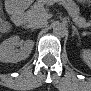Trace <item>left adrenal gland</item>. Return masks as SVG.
Here are the masks:
<instances>
[{
	"label": "left adrenal gland",
	"instance_id": "left-adrenal-gland-1",
	"mask_svg": "<svg viewBox=\"0 0 91 91\" xmlns=\"http://www.w3.org/2000/svg\"><path fill=\"white\" fill-rule=\"evenodd\" d=\"M73 29V34H76L77 36L79 35L78 29L75 26H72Z\"/></svg>",
	"mask_w": 91,
	"mask_h": 91
}]
</instances>
